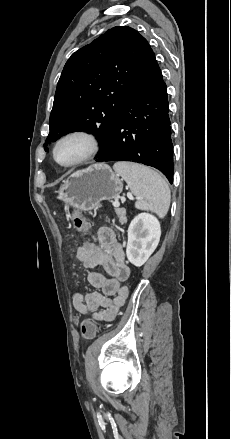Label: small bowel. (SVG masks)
Instances as JSON below:
<instances>
[{
  "label": "small bowel",
  "mask_w": 231,
  "mask_h": 439,
  "mask_svg": "<svg viewBox=\"0 0 231 439\" xmlns=\"http://www.w3.org/2000/svg\"><path fill=\"white\" fill-rule=\"evenodd\" d=\"M87 256L83 266L89 269L87 279L94 290L73 295L75 310L92 320L112 321L128 297V289L121 285L130 275L123 247L116 233L101 227L96 242L84 243L77 250V258ZM102 267L105 273L94 270Z\"/></svg>",
  "instance_id": "small-bowel-1"
}]
</instances>
